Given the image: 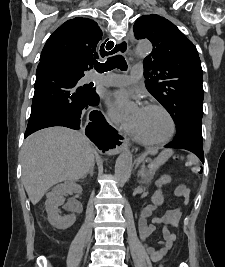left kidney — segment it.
<instances>
[{"label":"left kidney","instance_id":"left-kidney-1","mask_svg":"<svg viewBox=\"0 0 225 267\" xmlns=\"http://www.w3.org/2000/svg\"><path fill=\"white\" fill-rule=\"evenodd\" d=\"M171 182V177L168 175L162 176L159 180L156 181V186L159 188L152 196L151 201L155 205H162L164 198L162 195L161 187L164 184L170 183Z\"/></svg>","mask_w":225,"mask_h":267}]
</instances>
